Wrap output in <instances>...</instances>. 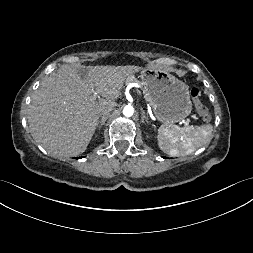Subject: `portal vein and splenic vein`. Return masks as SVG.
Wrapping results in <instances>:
<instances>
[{"mask_svg": "<svg viewBox=\"0 0 253 253\" xmlns=\"http://www.w3.org/2000/svg\"><path fill=\"white\" fill-rule=\"evenodd\" d=\"M92 97L96 99L98 97V94L96 92H94L93 95H92ZM184 125L188 126L189 123L187 121H184Z\"/></svg>", "mask_w": 253, "mask_h": 253, "instance_id": "18ae733b", "label": "portal vein and splenic vein"}]
</instances>
